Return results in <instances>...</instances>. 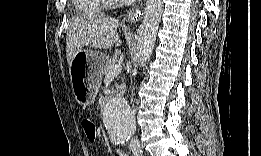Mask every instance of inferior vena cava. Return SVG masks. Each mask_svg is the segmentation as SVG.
I'll use <instances>...</instances> for the list:
<instances>
[{"label": "inferior vena cava", "mask_w": 261, "mask_h": 156, "mask_svg": "<svg viewBox=\"0 0 261 156\" xmlns=\"http://www.w3.org/2000/svg\"><path fill=\"white\" fill-rule=\"evenodd\" d=\"M131 143H138V140H137V138H133V139H131Z\"/></svg>", "instance_id": "obj_1"}]
</instances>
